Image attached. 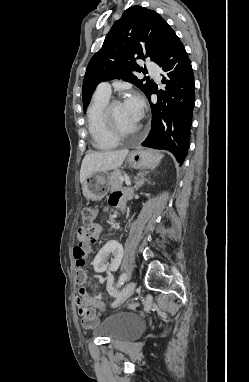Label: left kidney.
I'll list each match as a JSON object with an SVG mask.
<instances>
[{"label": "left kidney", "instance_id": "5707ae66", "mask_svg": "<svg viewBox=\"0 0 249 382\" xmlns=\"http://www.w3.org/2000/svg\"><path fill=\"white\" fill-rule=\"evenodd\" d=\"M123 257H125V245H119L118 241H109L95 257L93 269L96 273H116V269L123 265ZM106 282L112 283L113 277L107 276Z\"/></svg>", "mask_w": 249, "mask_h": 382}]
</instances>
